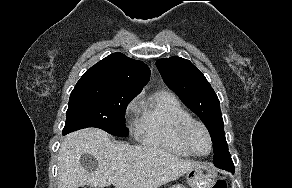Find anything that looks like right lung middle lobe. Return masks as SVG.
<instances>
[{"label":"right lung middle lobe","mask_w":292,"mask_h":188,"mask_svg":"<svg viewBox=\"0 0 292 188\" xmlns=\"http://www.w3.org/2000/svg\"><path fill=\"white\" fill-rule=\"evenodd\" d=\"M136 95L100 84H76L70 95L63 135L97 127L115 136H128L125 110Z\"/></svg>","instance_id":"obj_1"}]
</instances>
